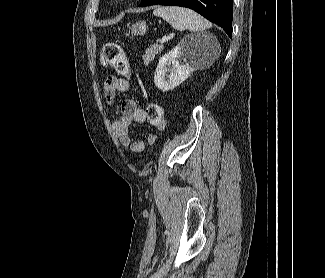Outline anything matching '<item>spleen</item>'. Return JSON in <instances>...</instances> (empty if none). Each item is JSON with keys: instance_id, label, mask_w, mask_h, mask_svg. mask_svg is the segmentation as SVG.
<instances>
[{"instance_id": "spleen-1", "label": "spleen", "mask_w": 325, "mask_h": 278, "mask_svg": "<svg viewBox=\"0 0 325 278\" xmlns=\"http://www.w3.org/2000/svg\"><path fill=\"white\" fill-rule=\"evenodd\" d=\"M153 14L163 18L174 29L199 32L211 27V23L196 12L178 6L157 7Z\"/></svg>"}]
</instances>
